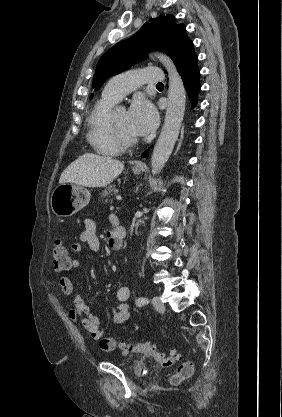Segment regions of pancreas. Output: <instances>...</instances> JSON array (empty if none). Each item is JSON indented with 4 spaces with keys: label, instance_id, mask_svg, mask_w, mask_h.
<instances>
[{
    "label": "pancreas",
    "instance_id": "pancreas-1",
    "mask_svg": "<svg viewBox=\"0 0 282 417\" xmlns=\"http://www.w3.org/2000/svg\"><path fill=\"white\" fill-rule=\"evenodd\" d=\"M118 192L115 184H109V186H106L104 190L101 192V202H103L102 198H105V196H109V194H116ZM105 202H108V198H106Z\"/></svg>",
    "mask_w": 282,
    "mask_h": 417
}]
</instances>
